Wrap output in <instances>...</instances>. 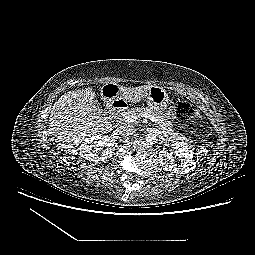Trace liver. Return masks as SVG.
<instances>
[{"instance_id":"6515ba94","label":"liver","mask_w":255,"mask_h":255,"mask_svg":"<svg viewBox=\"0 0 255 255\" xmlns=\"http://www.w3.org/2000/svg\"><path fill=\"white\" fill-rule=\"evenodd\" d=\"M152 85L135 88L120 87L124 102L142 100ZM93 88L64 93L53 105L49 116V133L64 151L74 154L84 139L109 133L113 127L101 111L93 105L96 94Z\"/></svg>"}]
</instances>
